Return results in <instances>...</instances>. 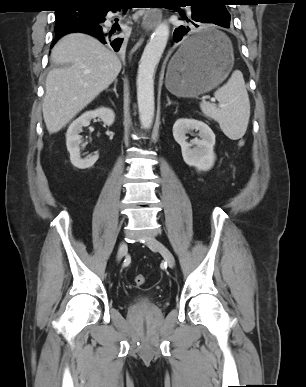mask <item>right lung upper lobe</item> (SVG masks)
I'll return each instance as SVG.
<instances>
[{
  "instance_id": "right-lung-upper-lobe-1",
  "label": "right lung upper lobe",
  "mask_w": 306,
  "mask_h": 387,
  "mask_svg": "<svg viewBox=\"0 0 306 387\" xmlns=\"http://www.w3.org/2000/svg\"><path fill=\"white\" fill-rule=\"evenodd\" d=\"M59 1L61 4L60 6L61 9H63V8H69L77 4L86 6V7H93V8H108L110 6L115 5L117 0H59Z\"/></svg>"
}]
</instances>
